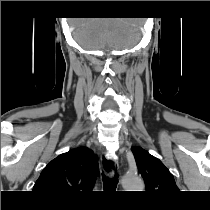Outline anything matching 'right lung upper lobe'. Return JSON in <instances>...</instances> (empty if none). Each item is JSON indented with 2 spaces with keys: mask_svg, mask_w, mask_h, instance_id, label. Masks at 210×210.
Returning <instances> with one entry per match:
<instances>
[{
  "mask_svg": "<svg viewBox=\"0 0 210 210\" xmlns=\"http://www.w3.org/2000/svg\"><path fill=\"white\" fill-rule=\"evenodd\" d=\"M98 175V157L87 147H77L52 160L33 191L57 203H66L92 190Z\"/></svg>",
  "mask_w": 210,
  "mask_h": 210,
  "instance_id": "obj_1",
  "label": "right lung upper lobe"
}]
</instances>
